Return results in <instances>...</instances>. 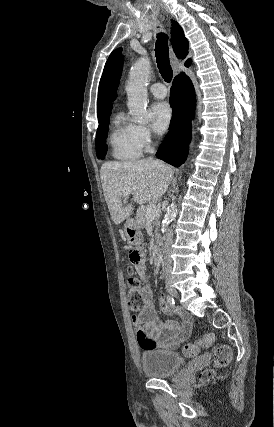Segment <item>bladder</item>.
Returning a JSON list of instances; mask_svg holds the SVG:
<instances>
[{
    "mask_svg": "<svg viewBox=\"0 0 274 427\" xmlns=\"http://www.w3.org/2000/svg\"><path fill=\"white\" fill-rule=\"evenodd\" d=\"M140 363L145 375L164 379L171 378L183 366L179 353L169 350L146 349L140 355Z\"/></svg>",
    "mask_w": 274,
    "mask_h": 427,
    "instance_id": "31cf9c89",
    "label": "bladder"
}]
</instances>
